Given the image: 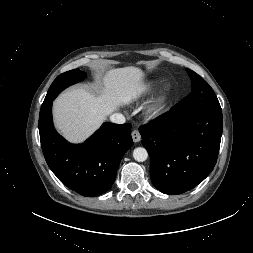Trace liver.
I'll return each mask as SVG.
<instances>
[{
	"instance_id": "liver-1",
	"label": "liver",
	"mask_w": 253,
	"mask_h": 253,
	"mask_svg": "<svg viewBox=\"0 0 253 253\" xmlns=\"http://www.w3.org/2000/svg\"><path fill=\"white\" fill-rule=\"evenodd\" d=\"M142 77L136 67L113 69L103 77L98 95L83 87L64 91L53 105L56 128L72 143L85 141L107 116L144 90Z\"/></svg>"
}]
</instances>
